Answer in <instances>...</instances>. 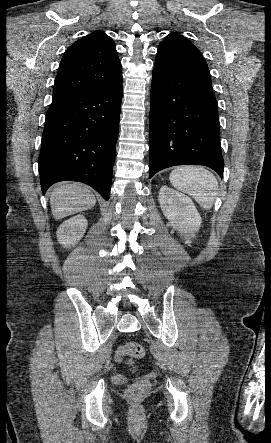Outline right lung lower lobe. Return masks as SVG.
Wrapping results in <instances>:
<instances>
[{"mask_svg":"<svg viewBox=\"0 0 271 443\" xmlns=\"http://www.w3.org/2000/svg\"><path fill=\"white\" fill-rule=\"evenodd\" d=\"M122 82L53 96L38 159L43 194L78 181L109 198L119 131Z\"/></svg>","mask_w":271,"mask_h":443,"instance_id":"obj_1","label":"right lung lower lobe"}]
</instances>
